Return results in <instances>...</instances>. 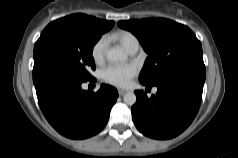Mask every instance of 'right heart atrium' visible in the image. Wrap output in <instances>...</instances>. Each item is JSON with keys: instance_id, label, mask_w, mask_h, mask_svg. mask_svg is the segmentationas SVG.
I'll return each mask as SVG.
<instances>
[{"instance_id": "right-heart-atrium-1", "label": "right heart atrium", "mask_w": 238, "mask_h": 158, "mask_svg": "<svg viewBox=\"0 0 238 158\" xmlns=\"http://www.w3.org/2000/svg\"><path fill=\"white\" fill-rule=\"evenodd\" d=\"M108 40L105 36L99 38L92 46L91 56L96 63L103 61L107 48Z\"/></svg>"}]
</instances>
